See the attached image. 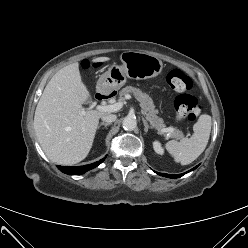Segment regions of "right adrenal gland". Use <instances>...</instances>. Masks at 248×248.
Masks as SVG:
<instances>
[{"label":"right adrenal gland","mask_w":248,"mask_h":248,"mask_svg":"<svg viewBox=\"0 0 248 248\" xmlns=\"http://www.w3.org/2000/svg\"><path fill=\"white\" fill-rule=\"evenodd\" d=\"M110 125V123H104V122H102V123H100L99 125H98V129L101 127V126H104V127H107V126H109Z\"/></svg>","instance_id":"1"}]
</instances>
